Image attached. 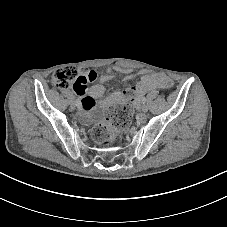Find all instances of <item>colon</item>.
<instances>
[{
	"label": "colon",
	"mask_w": 227,
	"mask_h": 227,
	"mask_svg": "<svg viewBox=\"0 0 227 227\" xmlns=\"http://www.w3.org/2000/svg\"><path fill=\"white\" fill-rule=\"evenodd\" d=\"M81 79L74 67H63L56 71L53 77L55 85L61 89L68 88L71 83ZM137 93L133 87L126 93L125 101L118 107L112 116L96 125L92 130L93 139L103 147H108L116 141L118 132L128 126L132 117L131 102Z\"/></svg>",
	"instance_id": "colon-1"
}]
</instances>
